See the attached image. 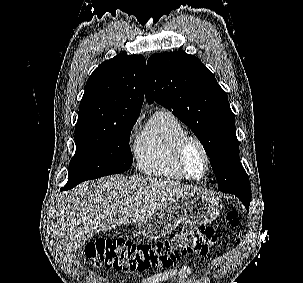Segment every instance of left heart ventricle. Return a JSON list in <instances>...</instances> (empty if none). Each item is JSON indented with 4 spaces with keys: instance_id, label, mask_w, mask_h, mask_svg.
<instances>
[{
    "instance_id": "left-heart-ventricle-1",
    "label": "left heart ventricle",
    "mask_w": 303,
    "mask_h": 283,
    "mask_svg": "<svg viewBox=\"0 0 303 283\" xmlns=\"http://www.w3.org/2000/svg\"><path fill=\"white\" fill-rule=\"evenodd\" d=\"M187 163L193 176H200L204 172L205 162L200 149L191 145L187 152Z\"/></svg>"
}]
</instances>
